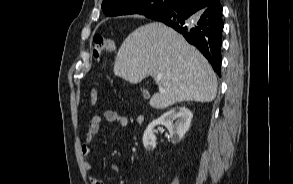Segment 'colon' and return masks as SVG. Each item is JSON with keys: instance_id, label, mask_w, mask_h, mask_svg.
I'll list each match as a JSON object with an SVG mask.
<instances>
[{"instance_id": "obj_1", "label": "colon", "mask_w": 293, "mask_h": 184, "mask_svg": "<svg viewBox=\"0 0 293 184\" xmlns=\"http://www.w3.org/2000/svg\"><path fill=\"white\" fill-rule=\"evenodd\" d=\"M93 56L96 60H99L104 52H114L116 50L115 41L111 38L95 35L93 38ZM98 99V90L93 87L90 93V102L94 105Z\"/></svg>"}]
</instances>
